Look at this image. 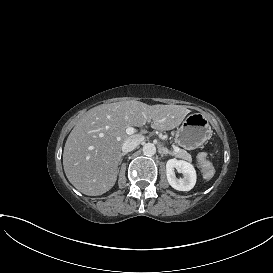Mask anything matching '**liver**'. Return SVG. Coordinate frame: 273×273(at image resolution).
Segmentation results:
<instances>
[{
    "label": "liver",
    "instance_id": "6515ba94",
    "mask_svg": "<svg viewBox=\"0 0 273 273\" xmlns=\"http://www.w3.org/2000/svg\"><path fill=\"white\" fill-rule=\"evenodd\" d=\"M190 113L185 106L155 105L130 100L97 106L88 111L69 134L63 165L69 181L86 195H100L115 183L121 147L131 137L125 129L143 126L169 130Z\"/></svg>",
    "mask_w": 273,
    "mask_h": 273
}]
</instances>
